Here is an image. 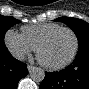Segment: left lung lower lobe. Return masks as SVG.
<instances>
[{"label": "left lung lower lobe", "mask_w": 89, "mask_h": 89, "mask_svg": "<svg viewBox=\"0 0 89 89\" xmlns=\"http://www.w3.org/2000/svg\"><path fill=\"white\" fill-rule=\"evenodd\" d=\"M40 89H89V49L78 51L64 70L45 72Z\"/></svg>", "instance_id": "0a47b994"}]
</instances>
